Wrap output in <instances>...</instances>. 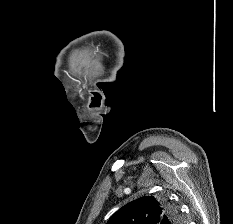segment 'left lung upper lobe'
Segmentation results:
<instances>
[{
	"instance_id": "1",
	"label": "left lung upper lobe",
	"mask_w": 233,
	"mask_h": 224,
	"mask_svg": "<svg viewBox=\"0 0 233 224\" xmlns=\"http://www.w3.org/2000/svg\"><path fill=\"white\" fill-rule=\"evenodd\" d=\"M178 210L166 198L142 197L120 208L106 224H179Z\"/></svg>"
}]
</instances>
